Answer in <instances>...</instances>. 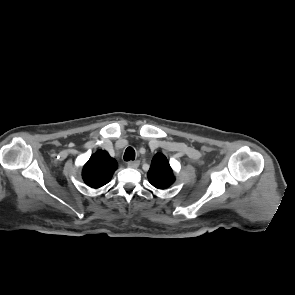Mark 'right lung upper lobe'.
<instances>
[{"instance_id": "cb5924a9", "label": "right lung upper lobe", "mask_w": 295, "mask_h": 295, "mask_svg": "<svg viewBox=\"0 0 295 295\" xmlns=\"http://www.w3.org/2000/svg\"><path fill=\"white\" fill-rule=\"evenodd\" d=\"M118 164L108 152L99 150L93 154L82 170L84 182L92 188H100L110 182Z\"/></svg>"}]
</instances>
